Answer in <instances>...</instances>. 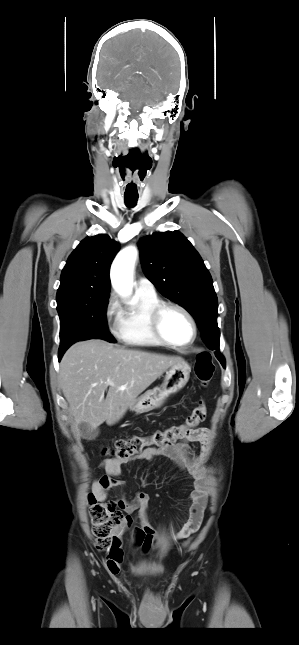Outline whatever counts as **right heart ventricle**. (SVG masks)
<instances>
[{"instance_id":"e07e8e85","label":"right heart ventricle","mask_w":299,"mask_h":645,"mask_svg":"<svg viewBox=\"0 0 299 645\" xmlns=\"http://www.w3.org/2000/svg\"><path fill=\"white\" fill-rule=\"evenodd\" d=\"M161 302L158 295L136 291L133 303L120 311L116 335L123 343L137 347L162 346L150 325V314Z\"/></svg>"}]
</instances>
